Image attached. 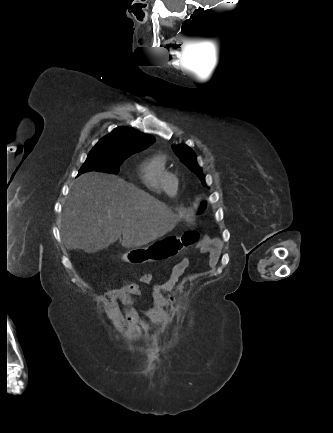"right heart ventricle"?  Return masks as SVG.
<instances>
[{
    "instance_id": "e07e8e85",
    "label": "right heart ventricle",
    "mask_w": 333,
    "mask_h": 433,
    "mask_svg": "<svg viewBox=\"0 0 333 433\" xmlns=\"http://www.w3.org/2000/svg\"><path fill=\"white\" fill-rule=\"evenodd\" d=\"M137 172L142 184L156 194L169 195L164 188V177L170 173L167 158L161 153H154L142 159L137 165ZM179 182L176 184L172 195L178 192Z\"/></svg>"
}]
</instances>
